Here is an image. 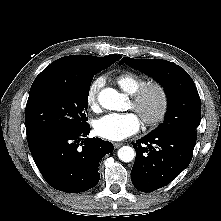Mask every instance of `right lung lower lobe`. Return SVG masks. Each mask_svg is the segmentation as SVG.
<instances>
[{"label": "right lung lower lobe", "instance_id": "right-lung-lower-lobe-1", "mask_svg": "<svg viewBox=\"0 0 221 221\" xmlns=\"http://www.w3.org/2000/svg\"><path fill=\"white\" fill-rule=\"evenodd\" d=\"M87 125L73 131H53L28 140L32 157L53 188L79 193L94 187L99 179L101 158L113 151V144L100 138H85Z\"/></svg>", "mask_w": 221, "mask_h": 221}]
</instances>
